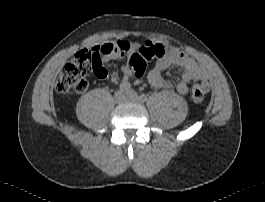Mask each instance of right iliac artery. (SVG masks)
<instances>
[{"instance_id":"right-iliac-artery-1","label":"right iliac artery","mask_w":265,"mask_h":202,"mask_svg":"<svg viewBox=\"0 0 265 202\" xmlns=\"http://www.w3.org/2000/svg\"><path fill=\"white\" fill-rule=\"evenodd\" d=\"M130 87H131V85H130V83H128V82H122L121 84H120V86H119V91H127V90H129L130 89Z\"/></svg>"}]
</instances>
